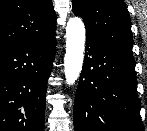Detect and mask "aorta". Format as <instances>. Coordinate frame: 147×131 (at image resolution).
<instances>
[{
	"label": "aorta",
	"mask_w": 147,
	"mask_h": 131,
	"mask_svg": "<svg viewBox=\"0 0 147 131\" xmlns=\"http://www.w3.org/2000/svg\"><path fill=\"white\" fill-rule=\"evenodd\" d=\"M85 46V26L79 17L70 18L66 26V54L64 57V72L69 85L79 77Z\"/></svg>",
	"instance_id": "762f6f07"
}]
</instances>
